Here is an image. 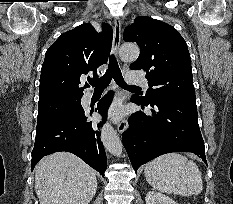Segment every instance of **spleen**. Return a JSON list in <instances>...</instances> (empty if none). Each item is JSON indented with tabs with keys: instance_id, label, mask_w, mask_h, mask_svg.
<instances>
[{
	"instance_id": "3e777b00",
	"label": "spleen",
	"mask_w": 233,
	"mask_h": 204,
	"mask_svg": "<svg viewBox=\"0 0 233 204\" xmlns=\"http://www.w3.org/2000/svg\"><path fill=\"white\" fill-rule=\"evenodd\" d=\"M147 182L158 191L182 196L198 195L203 189L198 166L179 153L162 155L144 169Z\"/></svg>"
}]
</instances>
